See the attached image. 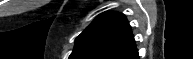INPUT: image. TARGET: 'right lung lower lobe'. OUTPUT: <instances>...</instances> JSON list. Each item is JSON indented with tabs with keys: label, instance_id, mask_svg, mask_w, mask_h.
<instances>
[{
	"label": "right lung lower lobe",
	"instance_id": "obj_1",
	"mask_svg": "<svg viewBox=\"0 0 193 59\" xmlns=\"http://www.w3.org/2000/svg\"><path fill=\"white\" fill-rule=\"evenodd\" d=\"M129 59H139L138 52L130 56Z\"/></svg>",
	"mask_w": 193,
	"mask_h": 59
}]
</instances>
